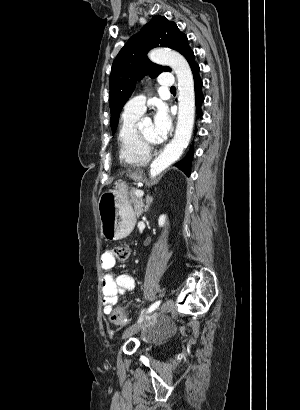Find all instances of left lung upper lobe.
<instances>
[{
	"instance_id": "left-lung-upper-lobe-1",
	"label": "left lung upper lobe",
	"mask_w": 300,
	"mask_h": 410,
	"mask_svg": "<svg viewBox=\"0 0 300 410\" xmlns=\"http://www.w3.org/2000/svg\"><path fill=\"white\" fill-rule=\"evenodd\" d=\"M159 46L172 48L187 60L193 53L187 36L174 22L160 15L154 16L139 33L129 39L114 60L110 74L109 105L113 134L118 125L119 114L134 91L137 80L145 75L155 78L162 71L171 70L167 66L154 64L147 58L148 51Z\"/></svg>"
}]
</instances>
